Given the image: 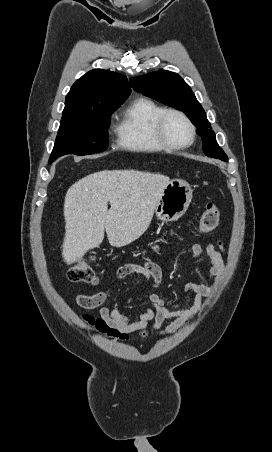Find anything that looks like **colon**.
Here are the masks:
<instances>
[{"mask_svg": "<svg viewBox=\"0 0 272 452\" xmlns=\"http://www.w3.org/2000/svg\"><path fill=\"white\" fill-rule=\"evenodd\" d=\"M220 219V209L214 202H208L201 214L198 231L200 233H208L213 231L217 226ZM92 258L79 259L68 270L67 278L71 282H83L89 284H96L98 276L95 269L92 266Z\"/></svg>", "mask_w": 272, "mask_h": 452, "instance_id": "1", "label": "colon"}]
</instances>
